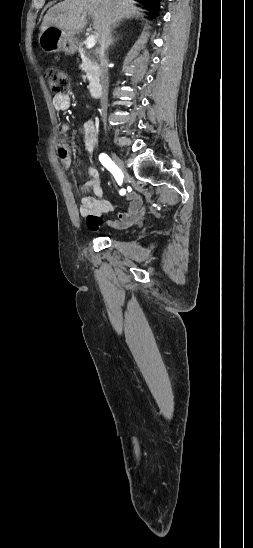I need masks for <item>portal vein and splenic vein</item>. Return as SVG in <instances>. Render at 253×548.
Listing matches in <instances>:
<instances>
[{"instance_id": "1", "label": "portal vein and splenic vein", "mask_w": 253, "mask_h": 548, "mask_svg": "<svg viewBox=\"0 0 253 548\" xmlns=\"http://www.w3.org/2000/svg\"><path fill=\"white\" fill-rule=\"evenodd\" d=\"M95 44H96V36H93V35L89 36L85 41V45L87 49H92L95 46Z\"/></svg>"}]
</instances>
